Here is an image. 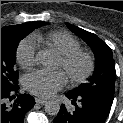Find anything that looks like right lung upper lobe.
<instances>
[{
    "label": "right lung upper lobe",
    "mask_w": 123,
    "mask_h": 123,
    "mask_svg": "<svg viewBox=\"0 0 123 123\" xmlns=\"http://www.w3.org/2000/svg\"><path fill=\"white\" fill-rule=\"evenodd\" d=\"M7 27H9V26L3 27L2 29H5V28H7Z\"/></svg>",
    "instance_id": "obj_1"
}]
</instances>
